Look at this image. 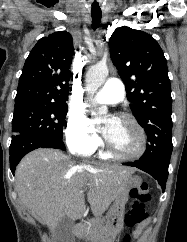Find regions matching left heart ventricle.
<instances>
[{
	"instance_id": "1",
	"label": "left heart ventricle",
	"mask_w": 187,
	"mask_h": 242,
	"mask_svg": "<svg viewBox=\"0 0 187 242\" xmlns=\"http://www.w3.org/2000/svg\"><path fill=\"white\" fill-rule=\"evenodd\" d=\"M104 127L108 130L107 141L115 150L133 153L139 149L140 137L131 123L117 118H108L104 122Z\"/></svg>"
}]
</instances>
